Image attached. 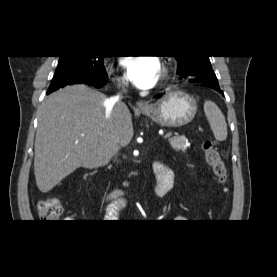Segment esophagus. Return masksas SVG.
Wrapping results in <instances>:
<instances>
[{"mask_svg": "<svg viewBox=\"0 0 277 277\" xmlns=\"http://www.w3.org/2000/svg\"><path fill=\"white\" fill-rule=\"evenodd\" d=\"M136 106H137L139 109H145V108H147V103L144 102V101H138V102L136 103Z\"/></svg>", "mask_w": 277, "mask_h": 277, "instance_id": "esophagus-1", "label": "esophagus"}]
</instances>
